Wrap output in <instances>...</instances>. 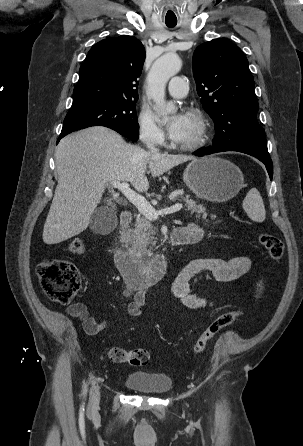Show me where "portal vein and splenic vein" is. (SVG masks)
<instances>
[{
	"label": "portal vein and splenic vein",
	"mask_w": 303,
	"mask_h": 446,
	"mask_svg": "<svg viewBox=\"0 0 303 446\" xmlns=\"http://www.w3.org/2000/svg\"><path fill=\"white\" fill-rule=\"evenodd\" d=\"M112 185L117 188L122 194L136 206L138 211L148 220H156L160 215H167L175 213L182 209L181 203H176L170 207L155 210V208L141 195L136 193L129 187L127 182H112Z\"/></svg>",
	"instance_id": "18ae733b"
}]
</instances>
